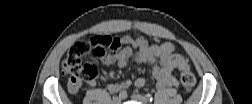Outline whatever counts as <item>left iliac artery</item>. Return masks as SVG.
<instances>
[{"label": "left iliac artery", "mask_w": 252, "mask_h": 104, "mask_svg": "<svg viewBox=\"0 0 252 104\" xmlns=\"http://www.w3.org/2000/svg\"><path fill=\"white\" fill-rule=\"evenodd\" d=\"M144 98H145V100H146L147 102H152V100H153V97H152V95H150V94H146Z\"/></svg>", "instance_id": "obj_1"}]
</instances>
